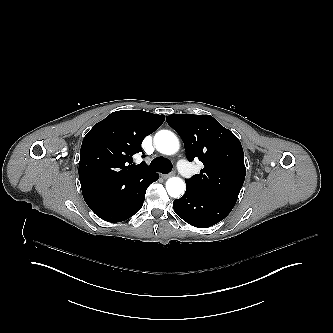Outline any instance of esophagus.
Instances as JSON below:
<instances>
[{"mask_svg":"<svg viewBox=\"0 0 333 333\" xmlns=\"http://www.w3.org/2000/svg\"><path fill=\"white\" fill-rule=\"evenodd\" d=\"M172 174H173V173H170V174H164V175H161V177H162L163 179H167V178H169L170 176H172Z\"/></svg>","mask_w":333,"mask_h":333,"instance_id":"34e87169","label":"esophagus"}]
</instances>
